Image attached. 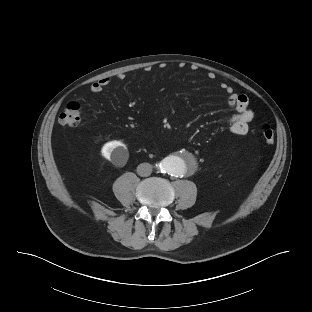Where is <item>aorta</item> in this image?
Wrapping results in <instances>:
<instances>
[{"instance_id":"aorta-1","label":"aorta","mask_w":312,"mask_h":312,"mask_svg":"<svg viewBox=\"0 0 312 312\" xmlns=\"http://www.w3.org/2000/svg\"><path fill=\"white\" fill-rule=\"evenodd\" d=\"M190 156H168L159 165L161 172L171 176H180L191 163Z\"/></svg>"}]
</instances>
